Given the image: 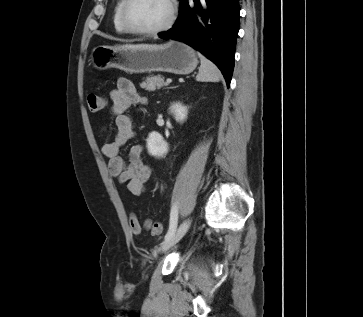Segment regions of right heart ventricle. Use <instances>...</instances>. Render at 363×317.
Instances as JSON below:
<instances>
[{
    "label": "right heart ventricle",
    "mask_w": 363,
    "mask_h": 317,
    "mask_svg": "<svg viewBox=\"0 0 363 317\" xmlns=\"http://www.w3.org/2000/svg\"><path fill=\"white\" fill-rule=\"evenodd\" d=\"M123 3H124V0H117L116 4L114 6L113 15H112L114 29L119 34L128 33L121 22V8H122Z\"/></svg>",
    "instance_id": "right-heart-ventricle-1"
}]
</instances>
